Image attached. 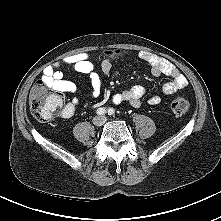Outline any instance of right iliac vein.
<instances>
[{"instance_id":"1","label":"right iliac vein","mask_w":221,"mask_h":221,"mask_svg":"<svg viewBox=\"0 0 221 221\" xmlns=\"http://www.w3.org/2000/svg\"><path fill=\"white\" fill-rule=\"evenodd\" d=\"M93 123L95 126H100L103 123V119L101 117H96L94 118Z\"/></svg>"}]
</instances>
